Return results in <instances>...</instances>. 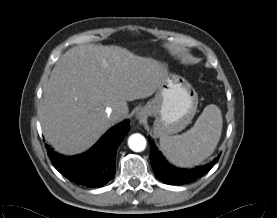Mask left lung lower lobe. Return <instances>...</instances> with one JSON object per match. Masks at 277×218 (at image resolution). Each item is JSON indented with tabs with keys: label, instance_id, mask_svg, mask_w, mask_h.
<instances>
[{
	"label": "left lung lower lobe",
	"instance_id": "obj_1",
	"mask_svg": "<svg viewBox=\"0 0 277 218\" xmlns=\"http://www.w3.org/2000/svg\"><path fill=\"white\" fill-rule=\"evenodd\" d=\"M150 140V138H149ZM150 160L156 177L165 184L181 185L195 181L207 173L218 161V156L211 163L193 169H178L167 163L162 154L157 150L153 141L150 140Z\"/></svg>",
	"mask_w": 277,
	"mask_h": 218
}]
</instances>
